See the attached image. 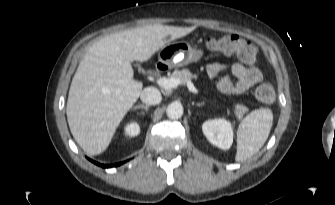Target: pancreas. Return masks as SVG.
I'll use <instances>...</instances> for the list:
<instances>
[{
	"label": "pancreas",
	"mask_w": 335,
	"mask_h": 205,
	"mask_svg": "<svg viewBox=\"0 0 335 205\" xmlns=\"http://www.w3.org/2000/svg\"><path fill=\"white\" fill-rule=\"evenodd\" d=\"M172 77L177 78L181 81V84L186 85L191 79H197V75H193L189 69L175 70ZM247 112V108L243 105L236 104L234 106V114L238 120H240L243 115Z\"/></svg>",
	"instance_id": "pancreas-1"
}]
</instances>
